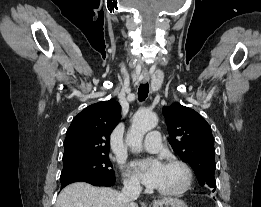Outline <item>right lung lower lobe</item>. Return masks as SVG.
Here are the masks:
<instances>
[{
    "label": "right lung lower lobe",
    "mask_w": 261,
    "mask_h": 207,
    "mask_svg": "<svg viewBox=\"0 0 261 207\" xmlns=\"http://www.w3.org/2000/svg\"><path fill=\"white\" fill-rule=\"evenodd\" d=\"M83 181L90 183L94 186H112L115 184V176L114 177H80L74 178L71 180H67L65 182H61V189L64 188L66 185L71 184L73 182Z\"/></svg>",
    "instance_id": "right-lung-lower-lobe-1"
}]
</instances>
